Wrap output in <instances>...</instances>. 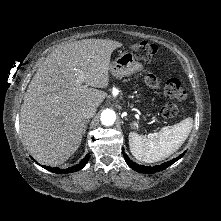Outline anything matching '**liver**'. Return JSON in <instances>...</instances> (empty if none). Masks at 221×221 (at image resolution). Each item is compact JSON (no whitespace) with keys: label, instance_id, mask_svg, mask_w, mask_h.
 Segmentation results:
<instances>
[{"label":"liver","instance_id":"liver-1","mask_svg":"<svg viewBox=\"0 0 221 221\" xmlns=\"http://www.w3.org/2000/svg\"><path fill=\"white\" fill-rule=\"evenodd\" d=\"M122 43L84 39L55 48L32 78L20 111L24 144L40 163L57 166L81 144L87 104L98 107L107 93L112 52ZM84 75L82 83L78 74ZM85 83L86 85H83ZM91 86L94 88H88Z\"/></svg>","mask_w":221,"mask_h":221}]
</instances>
